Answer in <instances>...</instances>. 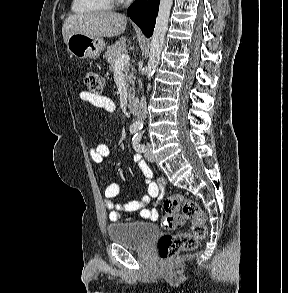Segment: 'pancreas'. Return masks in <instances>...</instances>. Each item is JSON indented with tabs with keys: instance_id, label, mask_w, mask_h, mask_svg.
Returning a JSON list of instances; mask_svg holds the SVG:
<instances>
[{
	"instance_id": "cf45deb5",
	"label": "pancreas",
	"mask_w": 288,
	"mask_h": 293,
	"mask_svg": "<svg viewBox=\"0 0 288 293\" xmlns=\"http://www.w3.org/2000/svg\"><path fill=\"white\" fill-rule=\"evenodd\" d=\"M126 53H127V48H126V43L124 40L116 41L114 44L107 47L104 57L109 64L110 71H115L116 69L115 61L117 60L119 56ZM123 77L126 82L128 97L131 98L132 95L134 94V88H133L134 80H133V72H130L129 66H126L123 68Z\"/></svg>"
}]
</instances>
